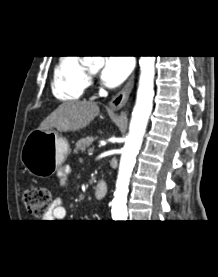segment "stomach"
<instances>
[{"mask_svg": "<svg viewBox=\"0 0 218 277\" xmlns=\"http://www.w3.org/2000/svg\"><path fill=\"white\" fill-rule=\"evenodd\" d=\"M66 138L53 129L31 131L22 146L20 159L30 174L46 178L53 174L69 154Z\"/></svg>", "mask_w": 218, "mask_h": 277, "instance_id": "obj_1", "label": "stomach"}]
</instances>
